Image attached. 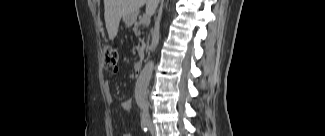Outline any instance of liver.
<instances>
[{"label":"liver","mask_w":325,"mask_h":136,"mask_svg":"<svg viewBox=\"0 0 325 136\" xmlns=\"http://www.w3.org/2000/svg\"><path fill=\"white\" fill-rule=\"evenodd\" d=\"M147 4V13H153L156 2L152 0H104V18L106 29L110 40H113L117 33L122 17L139 13V8Z\"/></svg>","instance_id":"liver-1"}]
</instances>
